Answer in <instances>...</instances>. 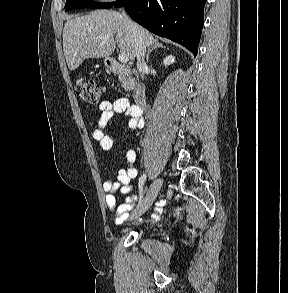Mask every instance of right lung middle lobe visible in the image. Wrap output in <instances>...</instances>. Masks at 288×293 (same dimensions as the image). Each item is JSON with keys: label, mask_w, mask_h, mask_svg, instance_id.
Here are the masks:
<instances>
[{"label": "right lung middle lobe", "mask_w": 288, "mask_h": 293, "mask_svg": "<svg viewBox=\"0 0 288 293\" xmlns=\"http://www.w3.org/2000/svg\"><path fill=\"white\" fill-rule=\"evenodd\" d=\"M120 0L111 3H95L93 0H66L65 10L69 11L76 8H110L117 4Z\"/></svg>", "instance_id": "right-lung-middle-lobe-1"}]
</instances>
